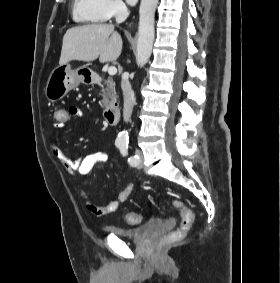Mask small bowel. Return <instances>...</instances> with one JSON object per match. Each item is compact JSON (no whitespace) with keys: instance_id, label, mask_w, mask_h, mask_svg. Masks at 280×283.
<instances>
[{"instance_id":"1","label":"small bowel","mask_w":280,"mask_h":283,"mask_svg":"<svg viewBox=\"0 0 280 283\" xmlns=\"http://www.w3.org/2000/svg\"><path fill=\"white\" fill-rule=\"evenodd\" d=\"M57 111V110H56ZM68 114H72V118L77 120H83L84 114L81 109L77 107L68 108ZM60 122H56V128H63ZM48 148L50 152L58 159L61 166L69 173L71 176H86L90 174L92 169L98 164L105 161V154L98 152L93 154L81 155L76 159H71L67 157L59 146L52 140L48 141ZM133 192V185H127L118 195L117 199L110 201L105 205H97L93 203L86 192L80 189V194L85 199L86 209L95 216H106L115 212L119 205L127 201Z\"/></svg>"}]
</instances>
